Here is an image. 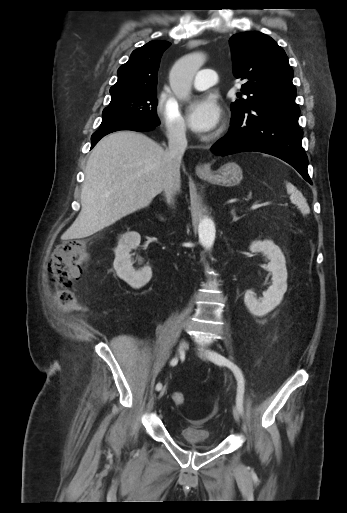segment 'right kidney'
<instances>
[{"mask_svg":"<svg viewBox=\"0 0 347 513\" xmlns=\"http://www.w3.org/2000/svg\"><path fill=\"white\" fill-rule=\"evenodd\" d=\"M140 241L141 236L139 233L128 232L120 237L118 246L115 249L113 266L116 274L133 288L144 286L152 276L149 266L138 271H135L133 268L130 252L139 246Z\"/></svg>","mask_w":347,"mask_h":513,"instance_id":"1","label":"right kidney"}]
</instances>
